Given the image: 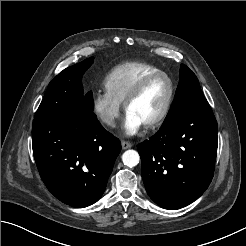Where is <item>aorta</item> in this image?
<instances>
[{
  "label": "aorta",
  "instance_id": "1",
  "mask_svg": "<svg viewBox=\"0 0 246 246\" xmlns=\"http://www.w3.org/2000/svg\"><path fill=\"white\" fill-rule=\"evenodd\" d=\"M139 160H140V156L138 152L135 150H127L122 155V161L124 165L130 168L138 165Z\"/></svg>",
  "mask_w": 246,
  "mask_h": 246
}]
</instances>
